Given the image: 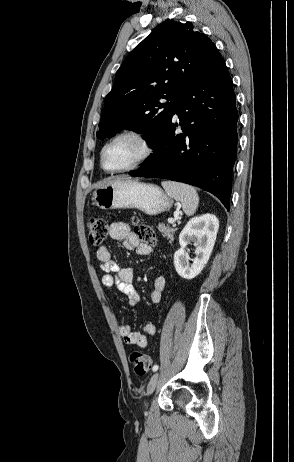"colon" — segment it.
<instances>
[{
    "instance_id": "obj_1",
    "label": "colon",
    "mask_w": 294,
    "mask_h": 462,
    "mask_svg": "<svg viewBox=\"0 0 294 462\" xmlns=\"http://www.w3.org/2000/svg\"><path fill=\"white\" fill-rule=\"evenodd\" d=\"M88 239L91 244H101L108 232L107 222L100 217H90L86 222ZM134 233L141 243L154 246L156 244V235L153 228L149 225L135 222ZM129 363L137 375L146 374L152 364L151 357L140 351H132L129 354Z\"/></svg>"
}]
</instances>
